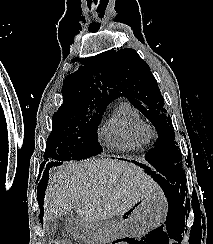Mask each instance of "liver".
<instances>
[{"label":"liver","instance_id":"obj_1","mask_svg":"<svg viewBox=\"0 0 213 244\" xmlns=\"http://www.w3.org/2000/svg\"><path fill=\"white\" fill-rule=\"evenodd\" d=\"M159 189L139 166L116 159H89L63 164L50 177L43 202L44 219L55 221L73 209L80 219L99 231Z\"/></svg>","mask_w":213,"mask_h":244}]
</instances>
